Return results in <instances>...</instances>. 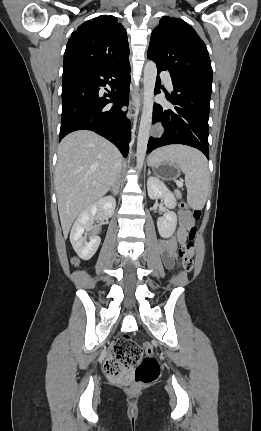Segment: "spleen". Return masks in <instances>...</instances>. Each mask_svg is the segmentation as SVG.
Segmentation results:
<instances>
[{"instance_id": "spleen-1", "label": "spleen", "mask_w": 261, "mask_h": 431, "mask_svg": "<svg viewBox=\"0 0 261 431\" xmlns=\"http://www.w3.org/2000/svg\"><path fill=\"white\" fill-rule=\"evenodd\" d=\"M162 161L176 164L185 174L187 202L191 208L201 210L210 185L208 163L204 155L191 147L172 145L157 149L149 157L150 166Z\"/></svg>"}]
</instances>
